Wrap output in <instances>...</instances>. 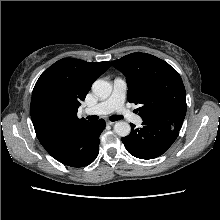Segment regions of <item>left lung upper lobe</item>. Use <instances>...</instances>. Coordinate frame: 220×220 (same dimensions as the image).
Returning <instances> with one entry per match:
<instances>
[{
	"mask_svg": "<svg viewBox=\"0 0 220 220\" xmlns=\"http://www.w3.org/2000/svg\"><path fill=\"white\" fill-rule=\"evenodd\" d=\"M112 65L128 84L127 98L139 104L143 120L162 118L182 124L186 115V92L178 72L167 62L147 53H132Z\"/></svg>",
	"mask_w": 220,
	"mask_h": 220,
	"instance_id": "obj_1",
	"label": "left lung upper lobe"
}]
</instances>
